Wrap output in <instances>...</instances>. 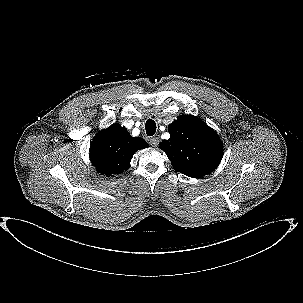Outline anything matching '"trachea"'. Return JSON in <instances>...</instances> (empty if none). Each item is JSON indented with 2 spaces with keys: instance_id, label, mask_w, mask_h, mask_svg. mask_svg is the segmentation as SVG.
Here are the masks:
<instances>
[{
  "instance_id": "3493384b",
  "label": "trachea",
  "mask_w": 303,
  "mask_h": 303,
  "mask_svg": "<svg viewBox=\"0 0 303 303\" xmlns=\"http://www.w3.org/2000/svg\"><path fill=\"white\" fill-rule=\"evenodd\" d=\"M147 136H153L156 132V123L152 119H148L145 125Z\"/></svg>"
}]
</instances>
